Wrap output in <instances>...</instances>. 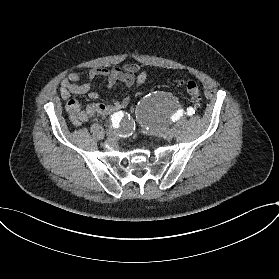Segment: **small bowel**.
<instances>
[{
    "mask_svg": "<svg viewBox=\"0 0 279 279\" xmlns=\"http://www.w3.org/2000/svg\"><path fill=\"white\" fill-rule=\"evenodd\" d=\"M97 77H104L106 86L110 89L119 82L130 87L136 81L138 84H144L147 81L146 72L135 63L126 64L121 68H92L88 71L90 80ZM79 81L80 75L72 72L61 81L59 87V93L66 103V111L75 126H81L85 122L94 119L97 115H108L112 112L123 110L130 105V97L125 96L111 103H90L83 109L78 101L72 98L73 95H86L92 100L98 99L99 95L91 89L89 82L79 83Z\"/></svg>",
    "mask_w": 279,
    "mask_h": 279,
    "instance_id": "c3829d8e",
    "label": "small bowel"
}]
</instances>
